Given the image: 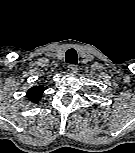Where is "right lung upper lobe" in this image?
<instances>
[{
  "label": "right lung upper lobe",
  "instance_id": "right-lung-upper-lobe-1",
  "mask_svg": "<svg viewBox=\"0 0 135 153\" xmlns=\"http://www.w3.org/2000/svg\"><path fill=\"white\" fill-rule=\"evenodd\" d=\"M43 92V86H33L28 90L27 97L31 102L38 103L41 100Z\"/></svg>",
  "mask_w": 135,
  "mask_h": 153
}]
</instances>
